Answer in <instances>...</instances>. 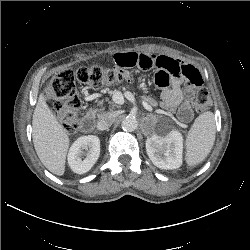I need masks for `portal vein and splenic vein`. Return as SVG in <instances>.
<instances>
[{"label":"portal vein and splenic vein","instance_id":"18ae733b","mask_svg":"<svg viewBox=\"0 0 250 250\" xmlns=\"http://www.w3.org/2000/svg\"><path fill=\"white\" fill-rule=\"evenodd\" d=\"M120 99L122 100V99H123V97L121 96V97H120Z\"/></svg>","mask_w":250,"mask_h":250}]
</instances>
